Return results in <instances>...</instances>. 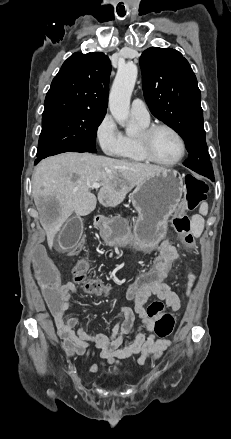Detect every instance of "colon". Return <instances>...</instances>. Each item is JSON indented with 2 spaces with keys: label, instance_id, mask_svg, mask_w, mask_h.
<instances>
[{
  "label": "colon",
  "instance_id": "obj_1",
  "mask_svg": "<svg viewBox=\"0 0 231 439\" xmlns=\"http://www.w3.org/2000/svg\"><path fill=\"white\" fill-rule=\"evenodd\" d=\"M186 186V195L180 208L177 210L173 226L176 232L181 236L183 243L192 246L194 238L190 217L186 211L195 209L198 204L205 198L208 187L206 183L193 175H186L184 178ZM87 242L86 236H80L75 243V250L84 247ZM35 258L36 282L42 288L41 293L47 299V309L49 313L60 312L63 306V296L57 293L58 284L61 282V275L50 266V258L45 246L39 245L36 248ZM178 262L174 256L162 257L160 260H152L151 264L145 270L140 271V276H136L129 289H126L124 295L126 298H135V292L139 286L145 283H169L166 282L168 273L173 271V265ZM89 265L85 260H79L73 267V277L76 282L93 294H105L109 292V287L99 278H89ZM149 297V296H148ZM174 317L170 313H160L153 325L155 336L160 339L168 337L174 329Z\"/></svg>",
  "mask_w": 231,
  "mask_h": 439
}]
</instances>
